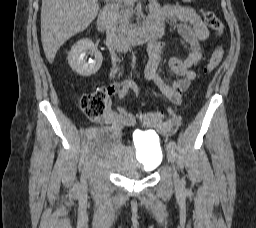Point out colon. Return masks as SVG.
Returning a JSON list of instances; mask_svg holds the SVG:
<instances>
[{"mask_svg": "<svg viewBox=\"0 0 256 228\" xmlns=\"http://www.w3.org/2000/svg\"><path fill=\"white\" fill-rule=\"evenodd\" d=\"M185 3H191L193 0H182ZM205 23L213 29L218 35H222L224 26L220 19L212 12H202ZM224 49L218 47L211 55L205 66V73H211L222 61ZM80 107L85 115L89 118L96 119L100 117L106 107V94L104 90L95 91L85 94L80 100ZM163 115L160 112H149L141 115V122L144 126L150 127L162 122Z\"/></svg>", "mask_w": 256, "mask_h": 228, "instance_id": "1", "label": "colon"}]
</instances>
